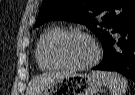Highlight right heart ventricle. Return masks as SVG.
Wrapping results in <instances>:
<instances>
[{
	"instance_id": "obj_1",
	"label": "right heart ventricle",
	"mask_w": 135,
	"mask_h": 95,
	"mask_svg": "<svg viewBox=\"0 0 135 95\" xmlns=\"http://www.w3.org/2000/svg\"><path fill=\"white\" fill-rule=\"evenodd\" d=\"M62 29L58 26L48 28L39 38L35 56L39 68L43 71L56 70L59 67L55 65L48 56V46L50 41L60 32Z\"/></svg>"
}]
</instances>
